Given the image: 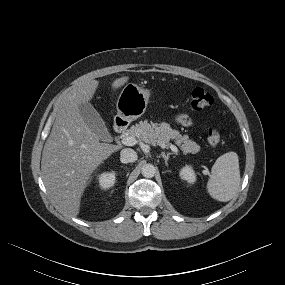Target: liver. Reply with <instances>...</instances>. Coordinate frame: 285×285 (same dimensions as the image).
<instances>
[{
    "label": "liver",
    "instance_id": "liver-1",
    "mask_svg": "<svg viewBox=\"0 0 285 285\" xmlns=\"http://www.w3.org/2000/svg\"><path fill=\"white\" fill-rule=\"evenodd\" d=\"M128 77L116 79L113 90L123 86ZM99 82L89 79L71 89L62 99L41 160L46 189L63 213L76 217L92 173L120 146L100 143L98 136L84 122L79 105L90 101Z\"/></svg>",
    "mask_w": 285,
    "mask_h": 285
}]
</instances>
